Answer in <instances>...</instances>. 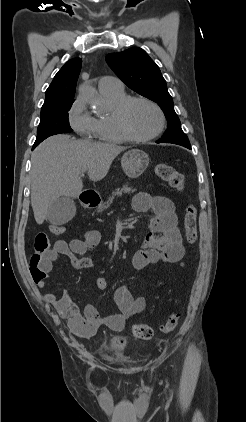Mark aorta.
Segmentation results:
<instances>
[{
	"label": "aorta",
	"instance_id": "1",
	"mask_svg": "<svg viewBox=\"0 0 246 422\" xmlns=\"http://www.w3.org/2000/svg\"><path fill=\"white\" fill-rule=\"evenodd\" d=\"M79 93L80 96L91 106H97L99 104L100 97L94 88L88 85H83L80 87Z\"/></svg>",
	"mask_w": 246,
	"mask_h": 422
}]
</instances>
